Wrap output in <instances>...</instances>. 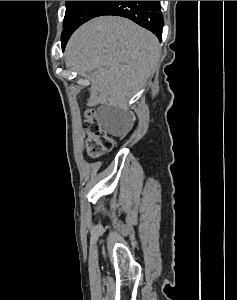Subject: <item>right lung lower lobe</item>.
Wrapping results in <instances>:
<instances>
[{"instance_id":"right-lung-lower-lobe-1","label":"right lung lower lobe","mask_w":237,"mask_h":300,"mask_svg":"<svg viewBox=\"0 0 237 300\" xmlns=\"http://www.w3.org/2000/svg\"><path fill=\"white\" fill-rule=\"evenodd\" d=\"M103 15L129 18L153 32L160 40L162 38L163 18L159 1H110L97 16Z\"/></svg>"}]
</instances>
